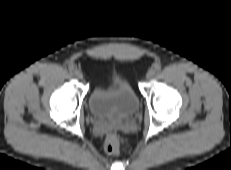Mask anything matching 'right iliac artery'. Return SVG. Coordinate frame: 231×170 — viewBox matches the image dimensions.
Listing matches in <instances>:
<instances>
[{"instance_id": "1", "label": "right iliac artery", "mask_w": 231, "mask_h": 170, "mask_svg": "<svg viewBox=\"0 0 231 170\" xmlns=\"http://www.w3.org/2000/svg\"><path fill=\"white\" fill-rule=\"evenodd\" d=\"M68 69H69L70 72L74 71V67L73 66H69Z\"/></svg>"}]
</instances>
